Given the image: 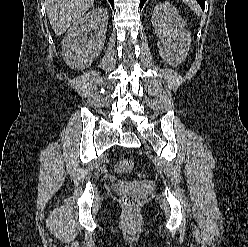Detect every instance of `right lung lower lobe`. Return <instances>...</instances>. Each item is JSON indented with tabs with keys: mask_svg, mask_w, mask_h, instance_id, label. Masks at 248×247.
Returning a JSON list of instances; mask_svg holds the SVG:
<instances>
[{
	"mask_svg": "<svg viewBox=\"0 0 248 247\" xmlns=\"http://www.w3.org/2000/svg\"><path fill=\"white\" fill-rule=\"evenodd\" d=\"M111 4V6L114 8V0H108Z\"/></svg>",
	"mask_w": 248,
	"mask_h": 247,
	"instance_id": "98d812e1",
	"label": "right lung lower lobe"
}]
</instances>
